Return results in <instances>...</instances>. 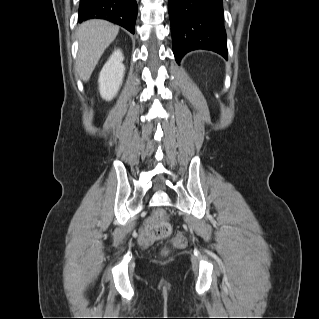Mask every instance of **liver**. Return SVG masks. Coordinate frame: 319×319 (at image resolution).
<instances>
[{
    "instance_id": "6515ba94",
    "label": "liver",
    "mask_w": 319,
    "mask_h": 319,
    "mask_svg": "<svg viewBox=\"0 0 319 319\" xmlns=\"http://www.w3.org/2000/svg\"><path fill=\"white\" fill-rule=\"evenodd\" d=\"M118 32V26L104 20H89L79 26L76 68L83 81L89 80L105 49L114 41Z\"/></svg>"
}]
</instances>
